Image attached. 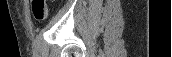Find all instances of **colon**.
Masks as SVG:
<instances>
[{
    "mask_svg": "<svg viewBox=\"0 0 172 57\" xmlns=\"http://www.w3.org/2000/svg\"><path fill=\"white\" fill-rule=\"evenodd\" d=\"M31 10L33 17L37 21H42L47 17L48 9L45 0H32Z\"/></svg>",
    "mask_w": 172,
    "mask_h": 57,
    "instance_id": "obj_1",
    "label": "colon"
}]
</instances>
